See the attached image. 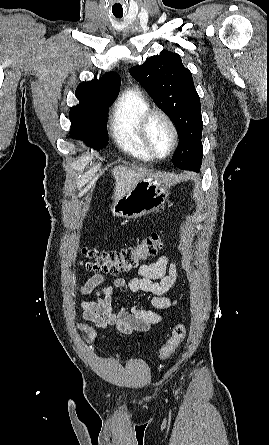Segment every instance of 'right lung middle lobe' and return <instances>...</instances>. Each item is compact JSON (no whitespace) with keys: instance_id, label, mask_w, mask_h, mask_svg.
<instances>
[{"instance_id":"obj_1","label":"right lung middle lobe","mask_w":269,"mask_h":445,"mask_svg":"<svg viewBox=\"0 0 269 445\" xmlns=\"http://www.w3.org/2000/svg\"><path fill=\"white\" fill-rule=\"evenodd\" d=\"M110 104L93 105L85 109L70 110L73 125L70 137L84 141L89 147L101 149L108 144L106 117Z\"/></svg>"}]
</instances>
